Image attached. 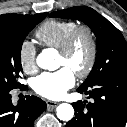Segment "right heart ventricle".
<instances>
[{
    "label": "right heart ventricle",
    "mask_w": 127,
    "mask_h": 127,
    "mask_svg": "<svg viewBox=\"0 0 127 127\" xmlns=\"http://www.w3.org/2000/svg\"><path fill=\"white\" fill-rule=\"evenodd\" d=\"M77 26L78 24L72 20L50 19L37 28L35 36L43 46L59 49Z\"/></svg>",
    "instance_id": "1"
}]
</instances>
